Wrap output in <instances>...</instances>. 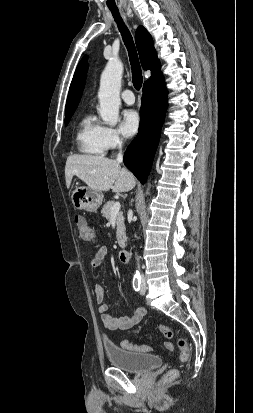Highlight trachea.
<instances>
[{"mask_svg":"<svg viewBox=\"0 0 253 413\" xmlns=\"http://www.w3.org/2000/svg\"><path fill=\"white\" fill-rule=\"evenodd\" d=\"M111 12H112V15L115 21L117 22L119 31L122 34L123 41L129 53L130 64H131V69H132L133 85L137 90H139L142 86L143 77H142L141 66H140L139 59H138V54L136 51V47H135L132 35L130 34V31L128 30L126 25L123 23L118 10H111Z\"/></svg>","mask_w":253,"mask_h":413,"instance_id":"3493384b","label":"trachea"}]
</instances>
